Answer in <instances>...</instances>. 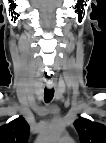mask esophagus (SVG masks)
<instances>
[{
    "label": "esophagus",
    "mask_w": 106,
    "mask_h": 143,
    "mask_svg": "<svg viewBox=\"0 0 106 143\" xmlns=\"http://www.w3.org/2000/svg\"><path fill=\"white\" fill-rule=\"evenodd\" d=\"M53 87H54V85H52V84H48V85H47V88H48V89H52Z\"/></svg>",
    "instance_id": "1"
}]
</instances>
